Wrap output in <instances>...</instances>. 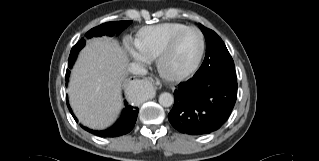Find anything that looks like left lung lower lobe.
<instances>
[{
  "label": "left lung lower lobe",
  "instance_id": "0a47b994",
  "mask_svg": "<svg viewBox=\"0 0 319 161\" xmlns=\"http://www.w3.org/2000/svg\"><path fill=\"white\" fill-rule=\"evenodd\" d=\"M237 87L236 79L229 76H193L175 90L168 119L181 133H211L228 119L237 98Z\"/></svg>",
  "mask_w": 319,
  "mask_h": 161
}]
</instances>
